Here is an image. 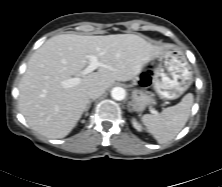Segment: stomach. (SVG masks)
I'll return each mask as SVG.
<instances>
[{"mask_svg": "<svg viewBox=\"0 0 222 187\" xmlns=\"http://www.w3.org/2000/svg\"><path fill=\"white\" fill-rule=\"evenodd\" d=\"M157 58L158 65L152 78L156 92L165 99L180 97L193 81L191 67L184 53L178 47L167 44ZM155 103L152 93L136 89L130 105L134 111L140 112Z\"/></svg>", "mask_w": 222, "mask_h": 187, "instance_id": "stomach-1", "label": "stomach"}]
</instances>
